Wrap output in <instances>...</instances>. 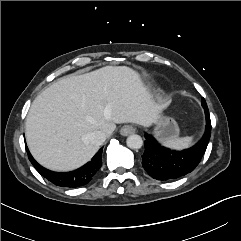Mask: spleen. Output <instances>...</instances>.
I'll use <instances>...</instances> for the list:
<instances>
[{
  "label": "spleen",
  "instance_id": "3e777b00",
  "mask_svg": "<svg viewBox=\"0 0 241 241\" xmlns=\"http://www.w3.org/2000/svg\"><path fill=\"white\" fill-rule=\"evenodd\" d=\"M191 142H192V137L187 136V137L174 138V139L163 141V145L167 148L182 150L189 147Z\"/></svg>",
  "mask_w": 241,
  "mask_h": 241
}]
</instances>
